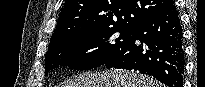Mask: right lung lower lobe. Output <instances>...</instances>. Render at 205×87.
Returning <instances> with one entry per match:
<instances>
[{
	"mask_svg": "<svg viewBox=\"0 0 205 87\" xmlns=\"http://www.w3.org/2000/svg\"><path fill=\"white\" fill-rule=\"evenodd\" d=\"M180 18L174 2L142 21L127 44L105 65L139 70L168 87H183L185 53Z\"/></svg>",
	"mask_w": 205,
	"mask_h": 87,
	"instance_id": "1",
	"label": "right lung lower lobe"
}]
</instances>
